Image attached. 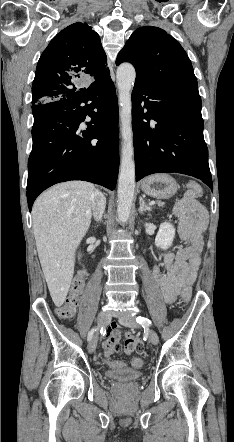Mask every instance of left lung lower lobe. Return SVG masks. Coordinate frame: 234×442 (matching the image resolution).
Returning <instances> with one entry per match:
<instances>
[{
	"label": "left lung lower lobe",
	"mask_w": 234,
	"mask_h": 442,
	"mask_svg": "<svg viewBox=\"0 0 234 442\" xmlns=\"http://www.w3.org/2000/svg\"><path fill=\"white\" fill-rule=\"evenodd\" d=\"M201 105L196 87L135 83L136 181L153 173L178 172L199 178L213 189ZM150 120L156 122L153 127Z\"/></svg>",
	"instance_id": "0a47b994"
}]
</instances>
